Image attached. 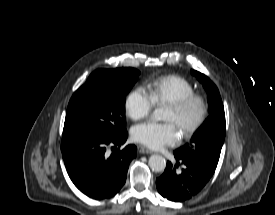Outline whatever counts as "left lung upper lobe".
I'll use <instances>...</instances> for the list:
<instances>
[{
    "label": "left lung upper lobe",
    "instance_id": "5c2ea615",
    "mask_svg": "<svg viewBox=\"0 0 275 215\" xmlns=\"http://www.w3.org/2000/svg\"><path fill=\"white\" fill-rule=\"evenodd\" d=\"M191 73L203 84L207 92L210 115L195 131L190 142L175 150L174 154L216 168L225 139L224 106L215 84L200 72L191 70Z\"/></svg>",
    "mask_w": 275,
    "mask_h": 215
}]
</instances>
